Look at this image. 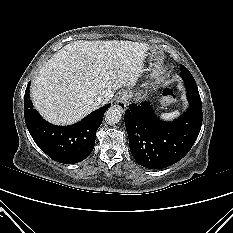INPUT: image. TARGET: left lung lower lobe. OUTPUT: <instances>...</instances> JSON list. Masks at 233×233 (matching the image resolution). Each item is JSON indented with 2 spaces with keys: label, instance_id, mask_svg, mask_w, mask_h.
<instances>
[{
  "label": "left lung lower lobe",
  "instance_id": "1",
  "mask_svg": "<svg viewBox=\"0 0 233 233\" xmlns=\"http://www.w3.org/2000/svg\"><path fill=\"white\" fill-rule=\"evenodd\" d=\"M189 108L178 119L160 120L149 102L131 104L125 126L131 154L143 167L162 169L181 160L192 148L202 125V103L196 83H186Z\"/></svg>",
  "mask_w": 233,
  "mask_h": 233
}]
</instances>
